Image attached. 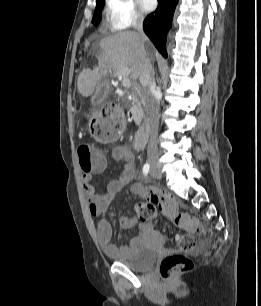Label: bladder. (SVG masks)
I'll use <instances>...</instances> for the list:
<instances>
[{
  "label": "bladder",
  "instance_id": "31cf9c89",
  "mask_svg": "<svg viewBox=\"0 0 261 306\" xmlns=\"http://www.w3.org/2000/svg\"><path fill=\"white\" fill-rule=\"evenodd\" d=\"M161 245V235L157 232H151L147 237L137 238L127 256L114 258L117 263L131 270L144 271L156 262Z\"/></svg>",
  "mask_w": 261,
  "mask_h": 306
}]
</instances>
